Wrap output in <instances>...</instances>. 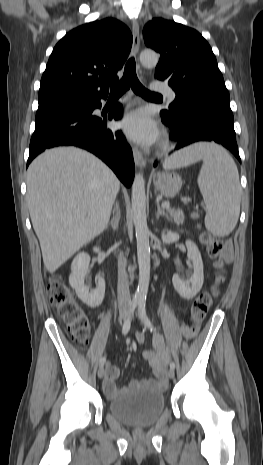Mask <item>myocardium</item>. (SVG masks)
Returning <instances> with one entry per match:
<instances>
[{"instance_id": "obj_1", "label": "myocardium", "mask_w": 263, "mask_h": 465, "mask_svg": "<svg viewBox=\"0 0 263 465\" xmlns=\"http://www.w3.org/2000/svg\"><path fill=\"white\" fill-rule=\"evenodd\" d=\"M169 146V140L167 138H164L161 142V148L166 149Z\"/></svg>"}]
</instances>
